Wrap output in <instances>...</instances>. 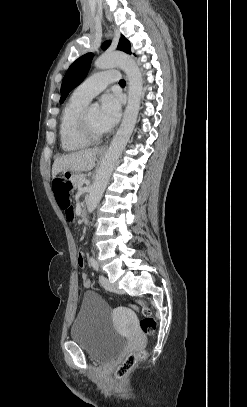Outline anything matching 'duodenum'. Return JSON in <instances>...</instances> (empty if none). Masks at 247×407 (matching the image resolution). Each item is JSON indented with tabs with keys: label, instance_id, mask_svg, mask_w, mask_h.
<instances>
[{
	"label": "duodenum",
	"instance_id": "410a0bca",
	"mask_svg": "<svg viewBox=\"0 0 247 407\" xmlns=\"http://www.w3.org/2000/svg\"><path fill=\"white\" fill-rule=\"evenodd\" d=\"M80 217L84 220H87V211L85 207H82L80 209Z\"/></svg>",
	"mask_w": 247,
	"mask_h": 407
}]
</instances>
